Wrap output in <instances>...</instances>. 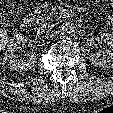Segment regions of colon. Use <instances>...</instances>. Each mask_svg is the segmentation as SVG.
Instances as JSON below:
<instances>
[{
    "label": "colon",
    "instance_id": "obj_1",
    "mask_svg": "<svg viewBox=\"0 0 113 113\" xmlns=\"http://www.w3.org/2000/svg\"><path fill=\"white\" fill-rule=\"evenodd\" d=\"M7 42V34L4 29L1 28L0 23V50L5 46Z\"/></svg>",
    "mask_w": 113,
    "mask_h": 113
}]
</instances>
